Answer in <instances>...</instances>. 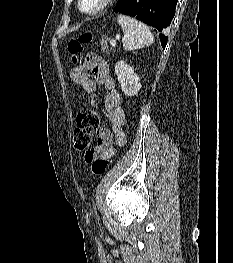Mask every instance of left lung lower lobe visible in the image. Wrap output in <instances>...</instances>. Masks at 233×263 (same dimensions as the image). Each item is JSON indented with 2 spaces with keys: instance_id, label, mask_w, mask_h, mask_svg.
Returning <instances> with one entry per match:
<instances>
[{
  "instance_id": "obj_1",
  "label": "left lung lower lobe",
  "mask_w": 233,
  "mask_h": 263,
  "mask_svg": "<svg viewBox=\"0 0 233 263\" xmlns=\"http://www.w3.org/2000/svg\"><path fill=\"white\" fill-rule=\"evenodd\" d=\"M178 0H118L113 11L129 15L154 27L165 48L168 37L163 32L171 23Z\"/></svg>"
}]
</instances>
